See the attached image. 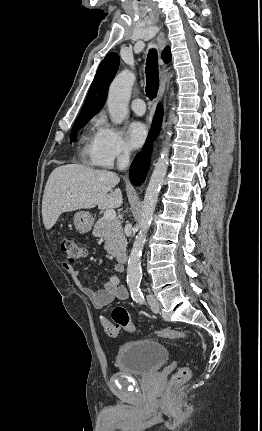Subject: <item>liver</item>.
I'll list each match as a JSON object with an SVG mask.
<instances>
[{"label": "liver", "instance_id": "liver-1", "mask_svg": "<svg viewBox=\"0 0 262 431\" xmlns=\"http://www.w3.org/2000/svg\"><path fill=\"white\" fill-rule=\"evenodd\" d=\"M116 173L95 170L80 164L55 168L50 174L42 199V217L46 230L51 229L63 212L79 209L119 208L123 203Z\"/></svg>", "mask_w": 262, "mask_h": 431}]
</instances>
